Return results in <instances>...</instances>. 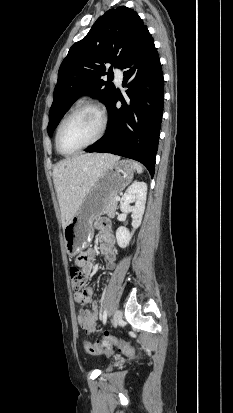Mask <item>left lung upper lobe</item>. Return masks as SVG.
Returning <instances> with one entry per match:
<instances>
[{"mask_svg": "<svg viewBox=\"0 0 233 413\" xmlns=\"http://www.w3.org/2000/svg\"><path fill=\"white\" fill-rule=\"evenodd\" d=\"M148 32L139 15L125 6L108 10L94 23L88 34L76 42L60 65L54 100L49 112L51 137L69 106L83 94H93L106 107L115 94L114 86L101 77L104 63L121 68Z\"/></svg>", "mask_w": 233, "mask_h": 413, "instance_id": "1", "label": "left lung upper lobe"}]
</instances>
